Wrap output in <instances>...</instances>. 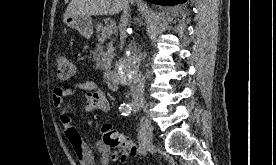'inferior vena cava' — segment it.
Listing matches in <instances>:
<instances>
[{
  "label": "inferior vena cava",
  "mask_w": 276,
  "mask_h": 165,
  "mask_svg": "<svg viewBox=\"0 0 276 165\" xmlns=\"http://www.w3.org/2000/svg\"><path fill=\"white\" fill-rule=\"evenodd\" d=\"M132 0H124L123 5V13L120 18L119 30H120V37H121V48L124 44V39L126 37V30L128 26V18H129V3ZM133 73L131 75V95L132 100L135 102H144V79L142 75L139 73L137 67H133Z\"/></svg>",
  "instance_id": "obj_1"
}]
</instances>
